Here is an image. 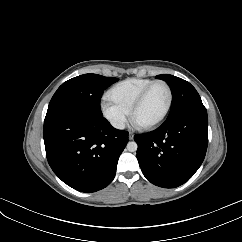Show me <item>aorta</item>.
<instances>
[{
  "instance_id": "762f6f07",
  "label": "aorta",
  "mask_w": 242,
  "mask_h": 242,
  "mask_svg": "<svg viewBox=\"0 0 242 242\" xmlns=\"http://www.w3.org/2000/svg\"><path fill=\"white\" fill-rule=\"evenodd\" d=\"M138 148V145L136 142L132 141V142H128L127 144V150L130 152H135Z\"/></svg>"
}]
</instances>
